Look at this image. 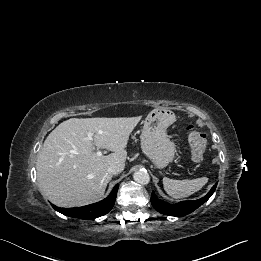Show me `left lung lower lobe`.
I'll return each mask as SVG.
<instances>
[{
	"label": "left lung lower lobe",
	"instance_id": "1",
	"mask_svg": "<svg viewBox=\"0 0 261 261\" xmlns=\"http://www.w3.org/2000/svg\"><path fill=\"white\" fill-rule=\"evenodd\" d=\"M217 185V184H216ZM216 185H214L211 190L202 198L194 201H183L176 204H170L167 202H164L160 199H158L154 192L151 194V204L153 207L160 213L170 216H185L191 212H193L195 209H197L199 206H201L203 203H205L211 195L214 193L216 189Z\"/></svg>",
	"mask_w": 261,
	"mask_h": 261
}]
</instances>
